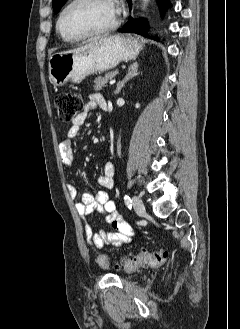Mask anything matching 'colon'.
<instances>
[{"instance_id": "obj_1", "label": "colon", "mask_w": 240, "mask_h": 329, "mask_svg": "<svg viewBox=\"0 0 240 329\" xmlns=\"http://www.w3.org/2000/svg\"><path fill=\"white\" fill-rule=\"evenodd\" d=\"M54 104L58 111L60 121L64 123L73 122L82 109L81 98L71 93H60L56 95ZM165 259L166 253L164 251L141 252L126 260L122 268L126 272L135 271L140 267L157 268L164 263ZM97 263L104 269L111 267L104 255L97 256ZM114 268L119 269L120 266L117 264Z\"/></svg>"}]
</instances>
